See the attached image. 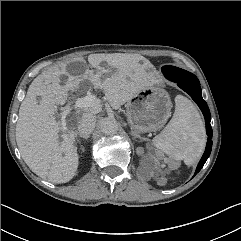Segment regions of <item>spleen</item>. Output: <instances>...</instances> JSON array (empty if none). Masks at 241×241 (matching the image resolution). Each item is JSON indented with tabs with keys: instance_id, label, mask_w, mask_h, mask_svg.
<instances>
[{
	"instance_id": "1",
	"label": "spleen",
	"mask_w": 241,
	"mask_h": 241,
	"mask_svg": "<svg viewBox=\"0 0 241 241\" xmlns=\"http://www.w3.org/2000/svg\"><path fill=\"white\" fill-rule=\"evenodd\" d=\"M205 142V127L196 106L188 98L177 95L173 117L153 138L154 146L172 159L193 165L201 157Z\"/></svg>"
}]
</instances>
